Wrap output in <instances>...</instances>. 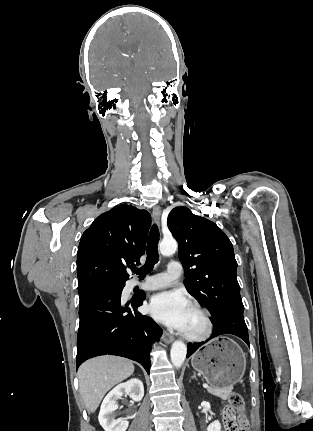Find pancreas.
<instances>
[{
  "label": "pancreas",
  "mask_w": 313,
  "mask_h": 431,
  "mask_svg": "<svg viewBox=\"0 0 313 431\" xmlns=\"http://www.w3.org/2000/svg\"><path fill=\"white\" fill-rule=\"evenodd\" d=\"M232 387L230 388H225L222 390H218L215 388H208V392L211 393L214 396L220 397L222 400H227V398L230 396L231 392H232Z\"/></svg>",
  "instance_id": "1"
}]
</instances>
